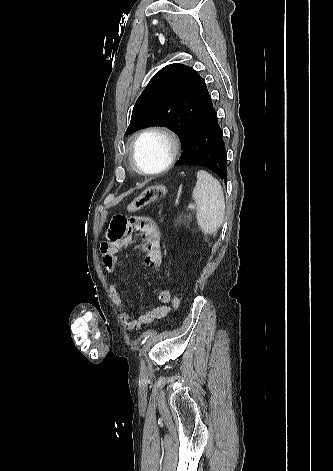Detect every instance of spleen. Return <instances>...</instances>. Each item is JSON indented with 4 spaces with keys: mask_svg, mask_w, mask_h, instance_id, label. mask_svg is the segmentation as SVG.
<instances>
[{
    "mask_svg": "<svg viewBox=\"0 0 333 471\" xmlns=\"http://www.w3.org/2000/svg\"><path fill=\"white\" fill-rule=\"evenodd\" d=\"M197 204V223L204 234L215 235L225 217V201L221 184L205 170L197 172L193 190Z\"/></svg>",
    "mask_w": 333,
    "mask_h": 471,
    "instance_id": "obj_1",
    "label": "spleen"
}]
</instances>
